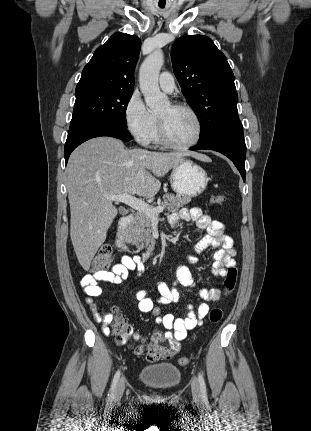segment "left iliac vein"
I'll return each instance as SVG.
<instances>
[{"label":"left iliac vein","mask_w":311,"mask_h":431,"mask_svg":"<svg viewBox=\"0 0 311 431\" xmlns=\"http://www.w3.org/2000/svg\"><path fill=\"white\" fill-rule=\"evenodd\" d=\"M191 389H192L193 397L196 400H199L201 398V390H200L199 382H198V380L196 378H194L192 380Z\"/></svg>","instance_id":"obj_1"}]
</instances>
